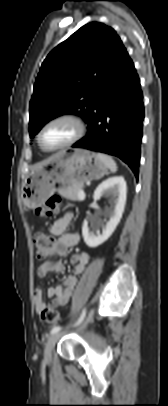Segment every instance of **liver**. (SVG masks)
<instances>
[{"label": "liver", "mask_w": 168, "mask_h": 406, "mask_svg": "<svg viewBox=\"0 0 168 406\" xmlns=\"http://www.w3.org/2000/svg\"><path fill=\"white\" fill-rule=\"evenodd\" d=\"M46 162H47V161H44V162H42V163L36 165L35 169L38 168V167H40L41 165H43V164L46 163Z\"/></svg>", "instance_id": "obj_1"}]
</instances>
